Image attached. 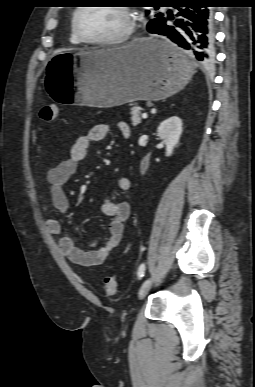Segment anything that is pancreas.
<instances>
[{"label":"pancreas","instance_id":"pancreas-1","mask_svg":"<svg viewBox=\"0 0 255 387\" xmlns=\"http://www.w3.org/2000/svg\"><path fill=\"white\" fill-rule=\"evenodd\" d=\"M141 107L139 106H133L131 108V121L133 126H137L141 123V118H140V111Z\"/></svg>","mask_w":255,"mask_h":387}]
</instances>
